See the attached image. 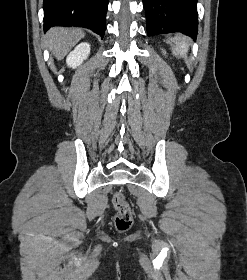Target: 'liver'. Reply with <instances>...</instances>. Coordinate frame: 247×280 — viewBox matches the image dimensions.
Instances as JSON below:
<instances>
[{
	"label": "liver",
	"mask_w": 247,
	"mask_h": 280,
	"mask_svg": "<svg viewBox=\"0 0 247 280\" xmlns=\"http://www.w3.org/2000/svg\"><path fill=\"white\" fill-rule=\"evenodd\" d=\"M85 36L81 29L54 27L46 34V44L56 59H63Z\"/></svg>",
	"instance_id": "1"
}]
</instances>
